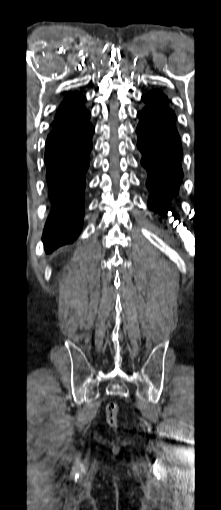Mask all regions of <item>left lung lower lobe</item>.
Masks as SVG:
<instances>
[{
    "instance_id": "0a47b994",
    "label": "left lung lower lobe",
    "mask_w": 221,
    "mask_h": 510,
    "mask_svg": "<svg viewBox=\"0 0 221 510\" xmlns=\"http://www.w3.org/2000/svg\"><path fill=\"white\" fill-rule=\"evenodd\" d=\"M137 116L140 119L136 129L137 147L143 155L141 164L147 172L146 187L151 193L148 205L162 216L172 211L177 219L170 202L178 193L183 176L179 135L163 128L142 111Z\"/></svg>"
}]
</instances>
